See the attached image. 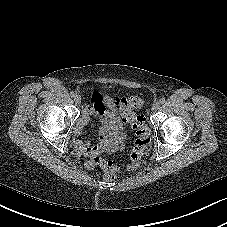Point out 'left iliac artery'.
<instances>
[{"instance_id": "obj_1", "label": "left iliac artery", "mask_w": 227, "mask_h": 227, "mask_svg": "<svg viewBox=\"0 0 227 227\" xmlns=\"http://www.w3.org/2000/svg\"><path fill=\"white\" fill-rule=\"evenodd\" d=\"M165 101H166V100H165V98H164V97H162V98H160L159 103H160V104H164V103H165Z\"/></svg>"}]
</instances>
